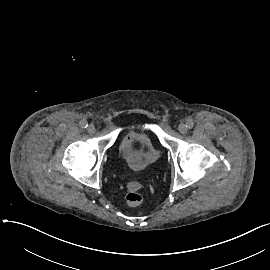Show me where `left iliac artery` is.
Returning <instances> with one entry per match:
<instances>
[{
    "mask_svg": "<svg viewBox=\"0 0 270 270\" xmlns=\"http://www.w3.org/2000/svg\"><path fill=\"white\" fill-rule=\"evenodd\" d=\"M186 126H187L188 129H191V128H193V126H194V122H193L192 120H188V121L186 122Z\"/></svg>",
    "mask_w": 270,
    "mask_h": 270,
    "instance_id": "1",
    "label": "left iliac artery"
}]
</instances>
